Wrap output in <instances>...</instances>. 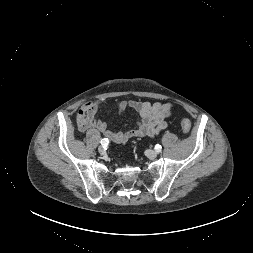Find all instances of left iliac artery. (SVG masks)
I'll return each mask as SVG.
<instances>
[{"instance_id":"1","label":"left iliac artery","mask_w":253,"mask_h":253,"mask_svg":"<svg viewBox=\"0 0 253 253\" xmlns=\"http://www.w3.org/2000/svg\"><path fill=\"white\" fill-rule=\"evenodd\" d=\"M161 149H162L161 145L157 144V145L155 146V150H156L157 152H161Z\"/></svg>"}]
</instances>
